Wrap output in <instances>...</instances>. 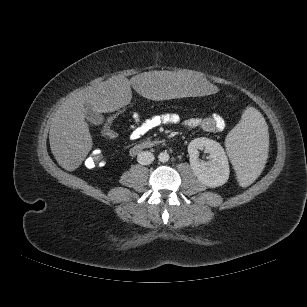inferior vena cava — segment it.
I'll return each mask as SVG.
<instances>
[{"mask_svg": "<svg viewBox=\"0 0 307 307\" xmlns=\"http://www.w3.org/2000/svg\"><path fill=\"white\" fill-rule=\"evenodd\" d=\"M153 161H154V155L149 151H142L137 156V162L141 165H149Z\"/></svg>", "mask_w": 307, "mask_h": 307, "instance_id": "obj_1", "label": "inferior vena cava"}]
</instances>
